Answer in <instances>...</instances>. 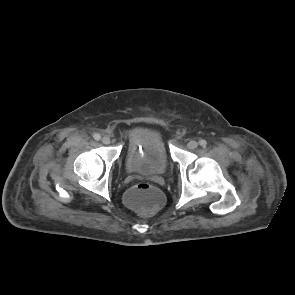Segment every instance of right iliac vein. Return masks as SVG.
Returning <instances> with one entry per match:
<instances>
[{
  "label": "right iliac vein",
  "instance_id": "right-iliac-vein-1",
  "mask_svg": "<svg viewBox=\"0 0 295 295\" xmlns=\"http://www.w3.org/2000/svg\"><path fill=\"white\" fill-rule=\"evenodd\" d=\"M102 143L105 144V145H108L110 144L111 140L108 136H104L102 139H101Z\"/></svg>",
  "mask_w": 295,
  "mask_h": 295
}]
</instances>
